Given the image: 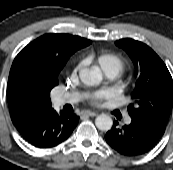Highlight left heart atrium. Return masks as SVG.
I'll list each match as a JSON object with an SVG mask.
<instances>
[{"label":"left heart atrium","instance_id":"left-heart-atrium-1","mask_svg":"<svg viewBox=\"0 0 173 170\" xmlns=\"http://www.w3.org/2000/svg\"><path fill=\"white\" fill-rule=\"evenodd\" d=\"M105 92H100L98 94H96V96L94 97L95 100H99L100 98L104 97Z\"/></svg>","mask_w":173,"mask_h":170}]
</instances>
